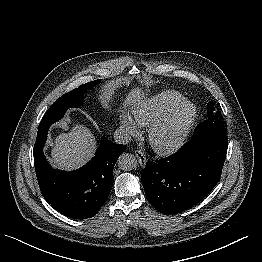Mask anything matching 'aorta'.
I'll return each mask as SVG.
<instances>
[{
	"mask_svg": "<svg viewBox=\"0 0 262 262\" xmlns=\"http://www.w3.org/2000/svg\"><path fill=\"white\" fill-rule=\"evenodd\" d=\"M118 167L124 171H130L136 168L137 160L133 154L123 153L118 158Z\"/></svg>",
	"mask_w": 262,
	"mask_h": 262,
	"instance_id": "obj_1",
	"label": "aorta"
}]
</instances>
